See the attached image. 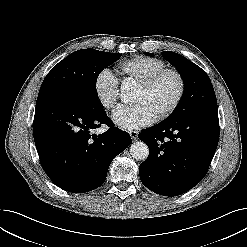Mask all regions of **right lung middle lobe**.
<instances>
[{
  "mask_svg": "<svg viewBox=\"0 0 247 247\" xmlns=\"http://www.w3.org/2000/svg\"><path fill=\"white\" fill-rule=\"evenodd\" d=\"M120 53L81 49L56 64L45 77L39 94L62 92L92 109L102 108L95 92L98 74L117 61Z\"/></svg>",
  "mask_w": 247,
  "mask_h": 247,
  "instance_id": "1",
  "label": "right lung middle lobe"
}]
</instances>
